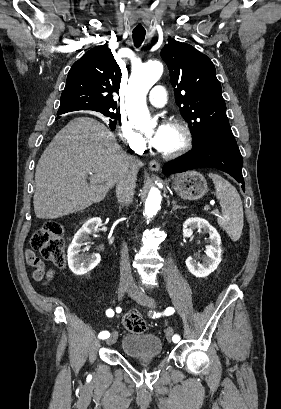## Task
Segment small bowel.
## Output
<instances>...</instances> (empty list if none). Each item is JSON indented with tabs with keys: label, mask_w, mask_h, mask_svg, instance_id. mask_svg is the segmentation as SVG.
<instances>
[{
	"label": "small bowel",
	"mask_w": 281,
	"mask_h": 409,
	"mask_svg": "<svg viewBox=\"0 0 281 409\" xmlns=\"http://www.w3.org/2000/svg\"><path fill=\"white\" fill-rule=\"evenodd\" d=\"M23 256L26 259V265L28 267H34V273L32 275V280L34 282H41L43 280V277L47 282L53 280L56 274L55 270H46L43 261L35 255L33 250H25ZM39 272H42L43 275Z\"/></svg>",
	"instance_id": "c3829d8e"
}]
</instances>
